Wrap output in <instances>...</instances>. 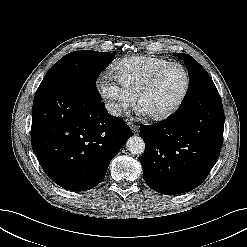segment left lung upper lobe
Instances as JSON below:
<instances>
[{"mask_svg":"<svg viewBox=\"0 0 247 247\" xmlns=\"http://www.w3.org/2000/svg\"><path fill=\"white\" fill-rule=\"evenodd\" d=\"M176 55L184 60L190 79L189 89L182 105H191L195 99L196 92L199 90V84L213 81L204 68L190 55L184 53H177Z\"/></svg>","mask_w":247,"mask_h":247,"instance_id":"obj_1","label":"left lung upper lobe"}]
</instances>
